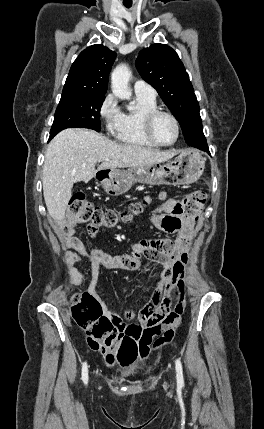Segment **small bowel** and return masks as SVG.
<instances>
[{
	"instance_id": "obj_1",
	"label": "small bowel",
	"mask_w": 264,
	"mask_h": 429,
	"mask_svg": "<svg viewBox=\"0 0 264 429\" xmlns=\"http://www.w3.org/2000/svg\"><path fill=\"white\" fill-rule=\"evenodd\" d=\"M152 223L159 229L177 233L176 238L146 239L132 246L130 254L113 255L103 249L87 248L77 235L75 224L60 229V241L64 248L70 249L66 258L70 263L84 260L88 267L87 294L98 301L105 313L106 305L100 301L97 282L101 266L139 270L141 258L150 257L161 263L155 273H147V286L153 289L151 300L138 312L137 322H126V337L137 344L136 358L145 360L152 351L167 345L173 338L174 329L181 322L182 311L175 306L172 309V292L183 283L188 263V252L191 246V221L180 210V204L174 199L162 201L155 208ZM91 235L96 234L98 227H88ZM130 317L132 313L129 312ZM157 337V338H156Z\"/></svg>"
}]
</instances>
